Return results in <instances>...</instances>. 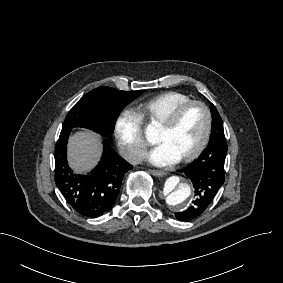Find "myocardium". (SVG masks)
Here are the masks:
<instances>
[{
    "label": "myocardium",
    "mask_w": 283,
    "mask_h": 283,
    "mask_svg": "<svg viewBox=\"0 0 283 283\" xmlns=\"http://www.w3.org/2000/svg\"><path fill=\"white\" fill-rule=\"evenodd\" d=\"M199 106L205 115V132L204 136L199 143V145L192 151L184 154L179 158L180 161H189L197 156H199L208 146V143L210 141L211 136V130H212V113L209 107L200 100H190L188 102H185L171 111L167 114V116L159 121V125L164 127L166 130L172 129L179 118L183 115V113L191 106Z\"/></svg>",
    "instance_id": "obj_1"
}]
</instances>
